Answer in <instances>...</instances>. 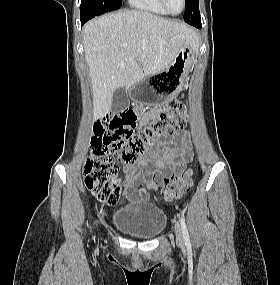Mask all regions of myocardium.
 <instances>
[{
	"mask_svg": "<svg viewBox=\"0 0 280 285\" xmlns=\"http://www.w3.org/2000/svg\"><path fill=\"white\" fill-rule=\"evenodd\" d=\"M161 3H162V5L165 7V9H166L170 14H172V15H179L180 13H182V12L185 10V8H186V6H187V0H183L182 9H181L179 12H173V11L170 9L167 0H161Z\"/></svg>",
	"mask_w": 280,
	"mask_h": 285,
	"instance_id": "f54148a6",
	"label": "myocardium"
}]
</instances>
